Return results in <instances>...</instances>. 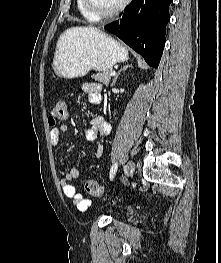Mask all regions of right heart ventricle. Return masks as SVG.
<instances>
[{
    "label": "right heart ventricle",
    "instance_id": "1",
    "mask_svg": "<svg viewBox=\"0 0 221 263\" xmlns=\"http://www.w3.org/2000/svg\"><path fill=\"white\" fill-rule=\"evenodd\" d=\"M76 4H77V8L78 11L80 12V14L86 18L89 21H95L97 19H95L90 13H88L83 5V1L82 0H76Z\"/></svg>",
    "mask_w": 221,
    "mask_h": 263
}]
</instances>
